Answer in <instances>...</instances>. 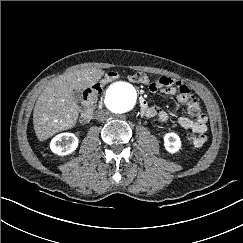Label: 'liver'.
<instances>
[{
	"mask_svg": "<svg viewBox=\"0 0 243 243\" xmlns=\"http://www.w3.org/2000/svg\"><path fill=\"white\" fill-rule=\"evenodd\" d=\"M104 71L97 68L78 69L52 79L44 86L33 112V124L37 138L44 141L59 131L75 126L79 105L74 90H85L94 85Z\"/></svg>",
	"mask_w": 243,
	"mask_h": 243,
	"instance_id": "liver-1",
	"label": "liver"
}]
</instances>
